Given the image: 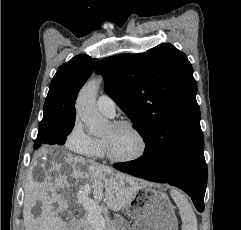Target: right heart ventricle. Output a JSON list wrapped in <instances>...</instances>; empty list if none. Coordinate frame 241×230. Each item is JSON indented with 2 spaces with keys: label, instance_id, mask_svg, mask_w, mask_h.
<instances>
[{
  "label": "right heart ventricle",
  "instance_id": "obj_1",
  "mask_svg": "<svg viewBox=\"0 0 241 230\" xmlns=\"http://www.w3.org/2000/svg\"><path fill=\"white\" fill-rule=\"evenodd\" d=\"M96 143H97V147L95 150V153L93 155V157H102L104 156V145H103V141L95 139Z\"/></svg>",
  "mask_w": 241,
  "mask_h": 230
}]
</instances>
